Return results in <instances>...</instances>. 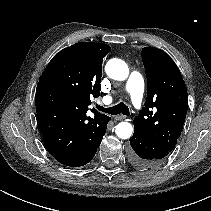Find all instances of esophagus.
Masks as SVG:
<instances>
[{"mask_svg": "<svg viewBox=\"0 0 211 211\" xmlns=\"http://www.w3.org/2000/svg\"><path fill=\"white\" fill-rule=\"evenodd\" d=\"M125 118H126V116H124V115H117V116L114 117V119L116 121H121V120H124Z\"/></svg>", "mask_w": 211, "mask_h": 211, "instance_id": "esophagus-1", "label": "esophagus"}]
</instances>
